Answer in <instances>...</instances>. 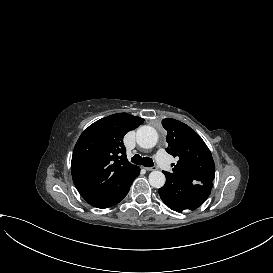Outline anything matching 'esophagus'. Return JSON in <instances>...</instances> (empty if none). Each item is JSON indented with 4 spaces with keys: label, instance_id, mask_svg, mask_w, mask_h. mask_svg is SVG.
Instances as JSON below:
<instances>
[{
    "label": "esophagus",
    "instance_id": "34e87169",
    "mask_svg": "<svg viewBox=\"0 0 273 273\" xmlns=\"http://www.w3.org/2000/svg\"><path fill=\"white\" fill-rule=\"evenodd\" d=\"M145 169H146L147 171H154V170L157 169V167H156V166H153V167H146Z\"/></svg>",
    "mask_w": 273,
    "mask_h": 273
}]
</instances>
